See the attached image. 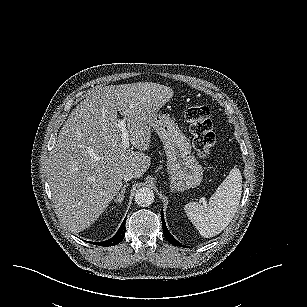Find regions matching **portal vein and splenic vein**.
Listing matches in <instances>:
<instances>
[{"label": "portal vein and splenic vein", "mask_w": 307, "mask_h": 307, "mask_svg": "<svg viewBox=\"0 0 307 307\" xmlns=\"http://www.w3.org/2000/svg\"><path fill=\"white\" fill-rule=\"evenodd\" d=\"M118 128L121 131V142L122 145L124 147V149H129L130 147V143H129V131L126 127V119H122V120H117V122L115 123ZM206 205V204H204Z\"/></svg>", "instance_id": "18ae733b"}]
</instances>
